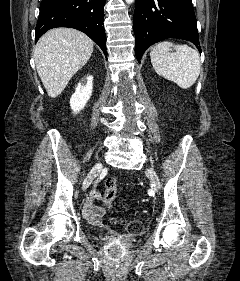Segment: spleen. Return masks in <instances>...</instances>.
<instances>
[{
  "label": "spleen",
  "instance_id": "spleen-1",
  "mask_svg": "<svg viewBox=\"0 0 240 281\" xmlns=\"http://www.w3.org/2000/svg\"><path fill=\"white\" fill-rule=\"evenodd\" d=\"M150 57L155 72L182 89L190 88L200 74L199 53L188 45L162 41L152 47Z\"/></svg>",
  "mask_w": 240,
  "mask_h": 281
}]
</instances>
